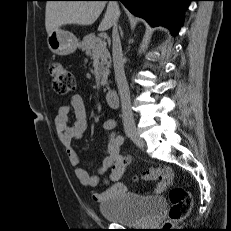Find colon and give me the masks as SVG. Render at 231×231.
I'll list each match as a JSON object with an SVG mask.
<instances>
[{
	"mask_svg": "<svg viewBox=\"0 0 231 231\" xmlns=\"http://www.w3.org/2000/svg\"><path fill=\"white\" fill-rule=\"evenodd\" d=\"M53 89L60 95H66L75 88V79L72 73L61 62H53L49 69ZM161 177V171L149 170L142 174V178L153 180ZM171 207L169 210V222H177L185 219L192 207V199L187 190L182 187H173L169 192ZM169 225V224H167Z\"/></svg>",
	"mask_w": 231,
	"mask_h": 231,
	"instance_id": "5ec220e1",
	"label": "colon"
}]
</instances>
